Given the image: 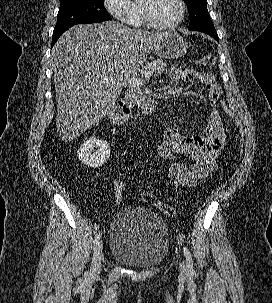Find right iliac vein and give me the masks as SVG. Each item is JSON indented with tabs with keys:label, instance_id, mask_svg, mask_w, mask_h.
<instances>
[{
	"label": "right iliac vein",
	"instance_id": "obj_1",
	"mask_svg": "<svg viewBox=\"0 0 272 303\" xmlns=\"http://www.w3.org/2000/svg\"><path fill=\"white\" fill-rule=\"evenodd\" d=\"M103 243L102 241L98 242L94 249L93 258H92V264L89 272V279L95 280L101 270V261L103 259Z\"/></svg>",
	"mask_w": 272,
	"mask_h": 303
}]
</instances>
